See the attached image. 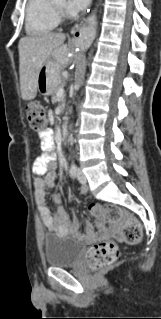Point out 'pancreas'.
Masks as SVG:
<instances>
[{"instance_id": "obj_1", "label": "pancreas", "mask_w": 161, "mask_h": 319, "mask_svg": "<svg viewBox=\"0 0 161 319\" xmlns=\"http://www.w3.org/2000/svg\"><path fill=\"white\" fill-rule=\"evenodd\" d=\"M60 88H63V82L60 81V83L58 84V86L54 89V91L52 92V100L54 102L58 101V97H57V92Z\"/></svg>"}]
</instances>
